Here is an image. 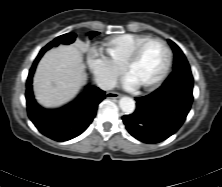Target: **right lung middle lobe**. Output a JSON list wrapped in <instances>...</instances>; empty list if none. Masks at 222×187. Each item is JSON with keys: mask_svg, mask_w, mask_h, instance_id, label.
I'll list each match as a JSON object with an SVG mask.
<instances>
[{"mask_svg": "<svg viewBox=\"0 0 222 187\" xmlns=\"http://www.w3.org/2000/svg\"><path fill=\"white\" fill-rule=\"evenodd\" d=\"M99 32H90V38L98 35ZM76 34L74 33H67L64 35H61L57 38H55L53 41H51L49 44H47L45 47H48L49 49L53 46H58L59 44H71L75 41Z\"/></svg>", "mask_w": 222, "mask_h": 187, "instance_id": "obj_1", "label": "right lung middle lobe"}]
</instances>
